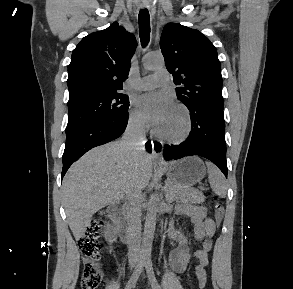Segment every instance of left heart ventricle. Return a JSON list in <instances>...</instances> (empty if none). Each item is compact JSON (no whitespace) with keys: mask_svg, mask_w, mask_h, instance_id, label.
Returning <instances> with one entry per match:
<instances>
[{"mask_svg":"<svg viewBox=\"0 0 293 289\" xmlns=\"http://www.w3.org/2000/svg\"><path fill=\"white\" fill-rule=\"evenodd\" d=\"M185 126L184 116L181 111L173 108L166 120L157 129L166 136L179 135Z\"/></svg>","mask_w":293,"mask_h":289,"instance_id":"obj_1","label":"left heart ventricle"}]
</instances>
